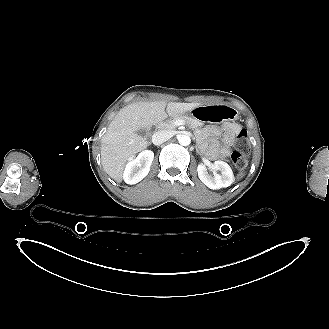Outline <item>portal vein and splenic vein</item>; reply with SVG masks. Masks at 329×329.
Listing matches in <instances>:
<instances>
[{"mask_svg": "<svg viewBox=\"0 0 329 329\" xmlns=\"http://www.w3.org/2000/svg\"><path fill=\"white\" fill-rule=\"evenodd\" d=\"M182 124H183V122H181V121L176 122V125H178V126H180Z\"/></svg>", "mask_w": 329, "mask_h": 329, "instance_id": "1", "label": "portal vein and splenic vein"}]
</instances>
